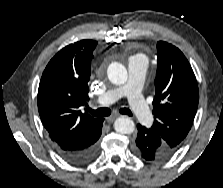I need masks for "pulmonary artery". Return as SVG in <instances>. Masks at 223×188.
<instances>
[{
	"label": "pulmonary artery",
	"mask_w": 223,
	"mask_h": 188,
	"mask_svg": "<svg viewBox=\"0 0 223 188\" xmlns=\"http://www.w3.org/2000/svg\"><path fill=\"white\" fill-rule=\"evenodd\" d=\"M128 68V81L121 86L107 90L97 98L96 103L100 106H108L122 97H127L131 110L138 121L144 125H150L153 115L142 94L147 59L140 54L134 55L129 59Z\"/></svg>",
	"instance_id": "e3ab8cb5"
}]
</instances>
